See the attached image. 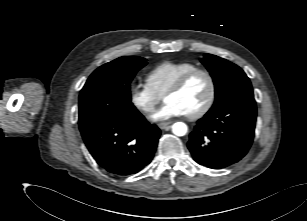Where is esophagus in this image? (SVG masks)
<instances>
[{
    "label": "esophagus",
    "mask_w": 307,
    "mask_h": 221,
    "mask_svg": "<svg viewBox=\"0 0 307 221\" xmlns=\"http://www.w3.org/2000/svg\"><path fill=\"white\" fill-rule=\"evenodd\" d=\"M171 125L170 122H164V123H160L158 126L160 129H166L167 127H169Z\"/></svg>",
    "instance_id": "34e87169"
}]
</instances>
